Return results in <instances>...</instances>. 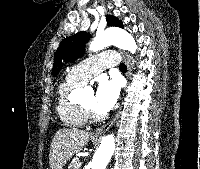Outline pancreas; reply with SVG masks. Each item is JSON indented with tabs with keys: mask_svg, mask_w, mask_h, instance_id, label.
Returning a JSON list of instances; mask_svg holds the SVG:
<instances>
[{
	"mask_svg": "<svg viewBox=\"0 0 200 169\" xmlns=\"http://www.w3.org/2000/svg\"><path fill=\"white\" fill-rule=\"evenodd\" d=\"M80 160L79 158H74L68 166V169H79Z\"/></svg>",
	"mask_w": 200,
	"mask_h": 169,
	"instance_id": "pancreas-1",
	"label": "pancreas"
}]
</instances>
